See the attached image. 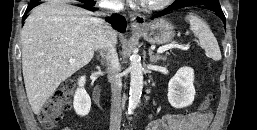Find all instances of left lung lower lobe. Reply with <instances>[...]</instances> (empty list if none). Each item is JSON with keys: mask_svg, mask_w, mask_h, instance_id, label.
<instances>
[{"mask_svg": "<svg viewBox=\"0 0 257 130\" xmlns=\"http://www.w3.org/2000/svg\"><path fill=\"white\" fill-rule=\"evenodd\" d=\"M190 4H199V5H204V8L205 9H208L210 11H213L215 12V14L221 18L224 22V24L226 23L225 21V16L222 12V9H221V6L219 4V1L218 0H197V1H189L187 3H182V4H175L173 3L172 5H170L167 9H165L164 11L162 12H158L157 14H155L152 19L154 18H157V17H160V16H163V15H166L168 14L169 12L171 11H174V10H177L179 8H182V7H185L187 5H190Z\"/></svg>", "mask_w": 257, "mask_h": 130, "instance_id": "1", "label": "left lung lower lobe"}]
</instances>
